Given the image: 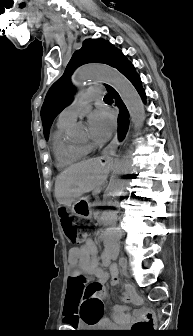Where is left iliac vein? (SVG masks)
<instances>
[{
    "label": "left iliac vein",
    "mask_w": 193,
    "mask_h": 336,
    "mask_svg": "<svg viewBox=\"0 0 193 336\" xmlns=\"http://www.w3.org/2000/svg\"><path fill=\"white\" fill-rule=\"evenodd\" d=\"M119 265L121 266L123 273L125 275H129V265L127 259L124 257H120Z\"/></svg>",
    "instance_id": "obj_1"
}]
</instances>
